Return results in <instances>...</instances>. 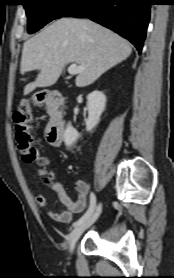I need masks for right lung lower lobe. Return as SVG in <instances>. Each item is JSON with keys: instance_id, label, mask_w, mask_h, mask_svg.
I'll return each mask as SVG.
<instances>
[{"instance_id": "obj_1", "label": "right lung lower lobe", "mask_w": 174, "mask_h": 278, "mask_svg": "<svg viewBox=\"0 0 174 278\" xmlns=\"http://www.w3.org/2000/svg\"><path fill=\"white\" fill-rule=\"evenodd\" d=\"M151 4L150 0H78L63 16L88 17L128 39L141 52Z\"/></svg>"}]
</instances>
